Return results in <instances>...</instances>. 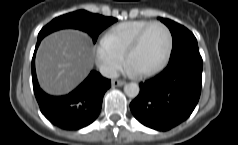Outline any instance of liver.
Listing matches in <instances>:
<instances>
[{"mask_svg": "<svg viewBox=\"0 0 238 145\" xmlns=\"http://www.w3.org/2000/svg\"><path fill=\"white\" fill-rule=\"evenodd\" d=\"M93 63L91 39L78 30H61L45 37L38 48V81L47 93L64 95L86 78Z\"/></svg>", "mask_w": 238, "mask_h": 145, "instance_id": "1", "label": "liver"}]
</instances>
